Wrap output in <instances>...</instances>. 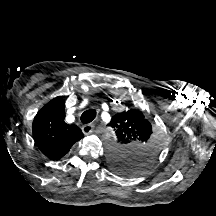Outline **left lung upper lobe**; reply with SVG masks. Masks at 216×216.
I'll list each match as a JSON object with an SVG mask.
<instances>
[{"label": "left lung upper lobe", "instance_id": "obj_1", "mask_svg": "<svg viewBox=\"0 0 216 216\" xmlns=\"http://www.w3.org/2000/svg\"><path fill=\"white\" fill-rule=\"evenodd\" d=\"M109 125L117 136L109 160L112 169L124 176H133L156 161L163 148L162 133L158 125L146 119L137 109L117 113Z\"/></svg>", "mask_w": 216, "mask_h": 216}]
</instances>
